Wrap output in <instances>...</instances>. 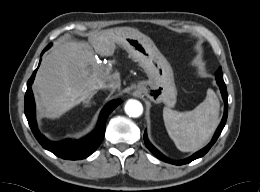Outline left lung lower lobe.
I'll use <instances>...</instances> for the list:
<instances>
[{"label":"left lung lower lobe","instance_id":"left-lung-lower-lobe-1","mask_svg":"<svg viewBox=\"0 0 260 192\" xmlns=\"http://www.w3.org/2000/svg\"><path fill=\"white\" fill-rule=\"evenodd\" d=\"M217 84L220 87L221 93H222V97L223 100L225 102V107H224V115L222 118V121L220 123V125L218 126L211 142L204 147L203 149H201L200 151L196 152L195 154H193L192 156H190L189 158H186L184 160H180V161H174L171 160L169 158H167L166 156H164L161 152H159L148 140L147 138V134L146 132L144 133V142L146 147L160 160L167 162V163H171V164H175V165H183V164H187L190 163L191 161L198 159L200 157H202L203 155H205L209 149L213 146V144L216 142V140L218 139L220 133L222 132L224 126H225V122L227 120V114H228V101H227V89H226V85L224 83L223 79H216Z\"/></svg>","mask_w":260,"mask_h":192}]
</instances>
